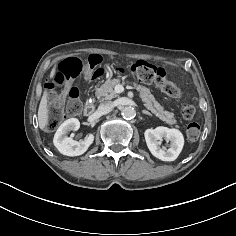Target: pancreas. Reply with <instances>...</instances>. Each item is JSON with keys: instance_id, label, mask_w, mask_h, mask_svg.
<instances>
[{"instance_id": "pancreas-1", "label": "pancreas", "mask_w": 236, "mask_h": 236, "mask_svg": "<svg viewBox=\"0 0 236 236\" xmlns=\"http://www.w3.org/2000/svg\"><path fill=\"white\" fill-rule=\"evenodd\" d=\"M119 84H126L125 81L121 83L120 79H108L100 87L96 89L95 95L98 100H111L117 97V93L114 88ZM133 86L136 90L139 91L142 101L145 103V107L150 110L155 116L160 120L166 122L169 125H175L177 120L174 117V114L168 111H164L163 107L155 100V97L151 94L150 90L145 86L133 83ZM176 127H178L176 125Z\"/></svg>"}]
</instances>
